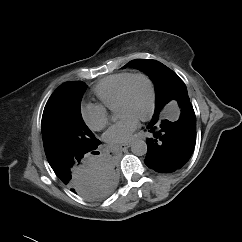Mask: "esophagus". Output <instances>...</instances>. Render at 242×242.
<instances>
[{"instance_id":"34e87169","label":"esophagus","mask_w":242,"mask_h":242,"mask_svg":"<svg viewBox=\"0 0 242 242\" xmlns=\"http://www.w3.org/2000/svg\"><path fill=\"white\" fill-rule=\"evenodd\" d=\"M130 146H131V143H124V144H121L119 147L124 151L128 149Z\"/></svg>"}]
</instances>
